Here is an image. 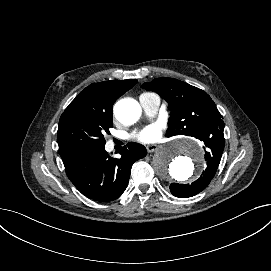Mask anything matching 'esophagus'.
<instances>
[{
	"mask_svg": "<svg viewBox=\"0 0 271 271\" xmlns=\"http://www.w3.org/2000/svg\"><path fill=\"white\" fill-rule=\"evenodd\" d=\"M158 149V145L156 144H149L146 146V150L148 153L155 152Z\"/></svg>",
	"mask_w": 271,
	"mask_h": 271,
	"instance_id": "1",
	"label": "esophagus"
}]
</instances>
